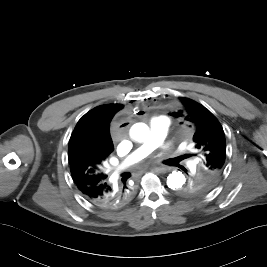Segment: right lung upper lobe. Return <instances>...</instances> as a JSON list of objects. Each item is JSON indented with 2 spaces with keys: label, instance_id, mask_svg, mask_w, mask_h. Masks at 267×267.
Listing matches in <instances>:
<instances>
[{
  "label": "right lung upper lobe",
  "instance_id": "obj_1",
  "mask_svg": "<svg viewBox=\"0 0 267 267\" xmlns=\"http://www.w3.org/2000/svg\"><path fill=\"white\" fill-rule=\"evenodd\" d=\"M121 108L120 104L98 106L86 113L75 126L69 141L68 158L73 180L79 189L106 180L107 175L104 173L89 182L80 183L76 179L75 170L83 159L89 156L103 164L114 150L108 124Z\"/></svg>",
  "mask_w": 267,
  "mask_h": 267
}]
</instances>
